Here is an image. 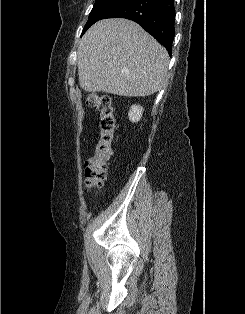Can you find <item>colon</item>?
I'll return each mask as SVG.
<instances>
[{"label": "colon", "mask_w": 245, "mask_h": 314, "mask_svg": "<svg viewBox=\"0 0 245 314\" xmlns=\"http://www.w3.org/2000/svg\"><path fill=\"white\" fill-rule=\"evenodd\" d=\"M87 104L99 111V136L95 144V153L86 161V186L90 190L101 188L107 175V162L113 154L116 118L112 99L109 95L90 93Z\"/></svg>", "instance_id": "5ec220e1"}]
</instances>
